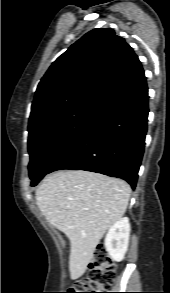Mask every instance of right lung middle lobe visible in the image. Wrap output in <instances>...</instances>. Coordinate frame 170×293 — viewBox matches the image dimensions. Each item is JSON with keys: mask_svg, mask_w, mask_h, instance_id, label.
Returning a JSON list of instances; mask_svg holds the SVG:
<instances>
[{"mask_svg": "<svg viewBox=\"0 0 170 293\" xmlns=\"http://www.w3.org/2000/svg\"><path fill=\"white\" fill-rule=\"evenodd\" d=\"M102 107L92 103L77 104L28 129L31 186H36L52 164L85 133Z\"/></svg>", "mask_w": 170, "mask_h": 293, "instance_id": "right-lung-middle-lobe-1", "label": "right lung middle lobe"}]
</instances>
